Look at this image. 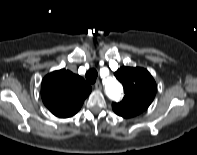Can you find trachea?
<instances>
[{
    "mask_svg": "<svg viewBox=\"0 0 197 155\" xmlns=\"http://www.w3.org/2000/svg\"><path fill=\"white\" fill-rule=\"evenodd\" d=\"M97 76H98V73H97L96 69H94V68L89 69L86 73V79L91 84L96 82Z\"/></svg>",
    "mask_w": 197,
    "mask_h": 155,
    "instance_id": "3493384b",
    "label": "trachea"
}]
</instances>
